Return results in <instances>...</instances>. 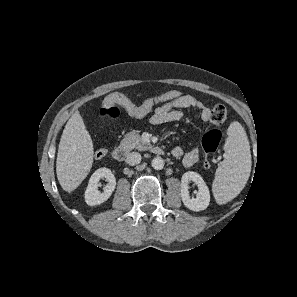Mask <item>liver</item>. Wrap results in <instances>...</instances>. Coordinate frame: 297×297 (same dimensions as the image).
Masks as SVG:
<instances>
[{
	"mask_svg": "<svg viewBox=\"0 0 297 297\" xmlns=\"http://www.w3.org/2000/svg\"><path fill=\"white\" fill-rule=\"evenodd\" d=\"M93 143L79 111L68 120L59 143L56 174L67 192L75 190L88 175L93 163Z\"/></svg>",
	"mask_w": 297,
	"mask_h": 297,
	"instance_id": "liver-1",
	"label": "liver"
}]
</instances>
